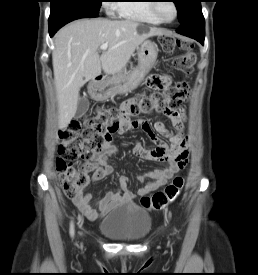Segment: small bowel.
I'll list each match as a JSON object with an SVG mask.
<instances>
[{
	"label": "small bowel",
	"instance_id": "obj_1",
	"mask_svg": "<svg viewBox=\"0 0 258 275\" xmlns=\"http://www.w3.org/2000/svg\"><path fill=\"white\" fill-rule=\"evenodd\" d=\"M159 78L165 87L171 84V79L167 76H151L149 80ZM172 121L176 133L168 131L163 123H150L147 120L137 121V127L156 144L153 149L144 148L139 142L132 144V154L136 157L165 163L164 168L154 169L144 175L136 178L139 183H144L136 193L128 188L130 179L124 175L117 177V188L107 192L101 199L93 202L90 194L81 195L73 200L80 212L90 220H96L100 215L108 214L117 206L131 203L136 196H145L162 187L170 180L180 169L184 168L189 157V142L184 136V123L186 114L184 108L175 110L167 114ZM127 129H121L119 133L123 134ZM166 139V141H164ZM117 147L108 141L103 149L92 153L89 161L88 171H92V180L98 182L115 173L114 167L109 164V158L116 154Z\"/></svg>",
	"mask_w": 258,
	"mask_h": 275
}]
</instances>
